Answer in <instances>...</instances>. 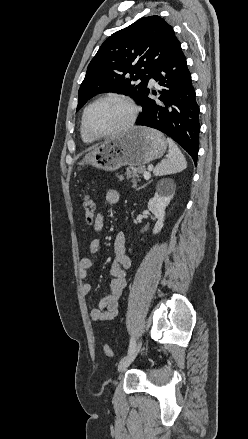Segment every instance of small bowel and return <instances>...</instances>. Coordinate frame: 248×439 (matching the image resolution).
Wrapping results in <instances>:
<instances>
[{"instance_id":"small-bowel-1","label":"small bowel","mask_w":248,"mask_h":439,"mask_svg":"<svg viewBox=\"0 0 248 439\" xmlns=\"http://www.w3.org/2000/svg\"><path fill=\"white\" fill-rule=\"evenodd\" d=\"M120 195L114 189L107 190L105 200L109 205H115L119 202ZM104 226V217L98 213L93 227L96 232H100ZM126 239L123 232L117 233L114 239L115 257L110 268L113 280L110 283V293L100 299L98 306L90 311L92 321H110L117 317L119 313L118 302L127 285V270L131 267V258L126 253ZM100 249V240L92 239L88 244V252L91 255L98 253ZM93 266V259L89 256L83 257L79 262V277L83 281L81 292L87 295L91 291V285L85 280L88 277V271Z\"/></svg>"}]
</instances>
